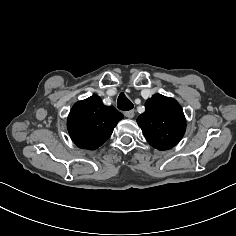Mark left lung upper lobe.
Returning <instances> with one entry per match:
<instances>
[{"label":"left lung upper lobe","instance_id":"1","mask_svg":"<svg viewBox=\"0 0 236 236\" xmlns=\"http://www.w3.org/2000/svg\"><path fill=\"white\" fill-rule=\"evenodd\" d=\"M145 112L137 123L146 140L158 150L174 147L183 137L186 120L179 103L161 94H155L145 103Z\"/></svg>","mask_w":236,"mask_h":236}]
</instances>
